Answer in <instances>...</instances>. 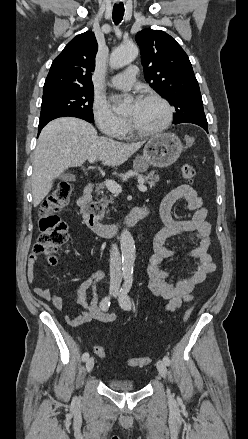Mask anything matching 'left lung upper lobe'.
<instances>
[{
    "label": "left lung upper lobe",
    "mask_w": 248,
    "mask_h": 439,
    "mask_svg": "<svg viewBox=\"0 0 248 439\" xmlns=\"http://www.w3.org/2000/svg\"><path fill=\"white\" fill-rule=\"evenodd\" d=\"M135 39L141 50L146 81L176 109L173 123L207 121L192 65L175 39L152 29L138 32Z\"/></svg>",
    "instance_id": "obj_1"
}]
</instances>
